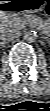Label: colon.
I'll return each instance as SVG.
<instances>
[{
	"label": "colon",
	"mask_w": 50,
	"mask_h": 111,
	"mask_svg": "<svg viewBox=\"0 0 50 111\" xmlns=\"http://www.w3.org/2000/svg\"><path fill=\"white\" fill-rule=\"evenodd\" d=\"M46 13H47V14L50 13V7H47Z\"/></svg>",
	"instance_id": "colon-1"
}]
</instances>
